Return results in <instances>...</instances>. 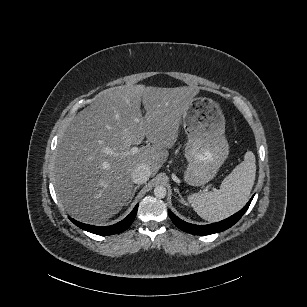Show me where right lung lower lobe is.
Listing matches in <instances>:
<instances>
[{
  "mask_svg": "<svg viewBox=\"0 0 307 307\" xmlns=\"http://www.w3.org/2000/svg\"><path fill=\"white\" fill-rule=\"evenodd\" d=\"M137 209H138V204L135 206L132 212L124 220L114 225L106 226V227H99V226H92V225L84 224L72 218H70V220L75 225H77L81 229L86 230L88 232L98 234V235H113V234L123 232L132 224L133 220L135 219Z\"/></svg>",
  "mask_w": 307,
  "mask_h": 307,
  "instance_id": "obj_1",
  "label": "right lung lower lobe"
}]
</instances>
